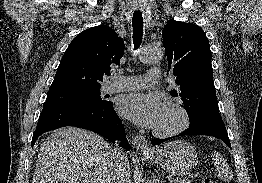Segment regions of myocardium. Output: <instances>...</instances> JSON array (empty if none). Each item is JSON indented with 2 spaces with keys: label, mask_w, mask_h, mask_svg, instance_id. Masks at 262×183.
<instances>
[{
  "label": "myocardium",
  "mask_w": 262,
  "mask_h": 183,
  "mask_svg": "<svg viewBox=\"0 0 262 183\" xmlns=\"http://www.w3.org/2000/svg\"><path fill=\"white\" fill-rule=\"evenodd\" d=\"M163 106L176 109L180 115V123L177 127L169 131H157L154 129L153 135L158 138H170L183 132L188 127L190 122L189 114L186 108L176 100H167L164 102Z\"/></svg>",
  "instance_id": "myocardium-1"
}]
</instances>
